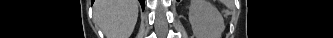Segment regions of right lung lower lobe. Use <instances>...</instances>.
Masks as SVG:
<instances>
[{"label": "right lung lower lobe", "mask_w": 333, "mask_h": 38, "mask_svg": "<svg viewBox=\"0 0 333 38\" xmlns=\"http://www.w3.org/2000/svg\"><path fill=\"white\" fill-rule=\"evenodd\" d=\"M94 2V0H92ZM141 3L142 8L144 9V0H139Z\"/></svg>", "instance_id": "obj_1"}]
</instances>
